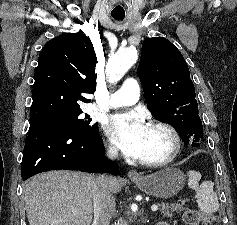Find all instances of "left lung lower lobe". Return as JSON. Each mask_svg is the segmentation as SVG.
<instances>
[{"instance_id":"left-lung-lower-lobe-1","label":"left lung lower lobe","mask_w":237,"mask_h":225,"mask_svg":"<svg viewBox=\"0 0 237 225\" xmlns=\"http://www.w3.org/2000/svg\"><path fill=\"white\" fill-rule=\"evenodd\" d=\"M184 145L192 141V147H198L199 141L203 137V126L199 117H196L193 122L180 133Z\"/></svg>"}]
</instances>
